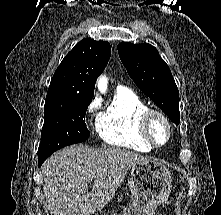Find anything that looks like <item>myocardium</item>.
<instances>
[{
  "label": "myocardium",
  "mask_w": 221,
  "mask_h": 215,
  "mask_svg": "<svg viewBox=\"0 0 221 215\" xmlns=\"http://www.w3.org/2000/svg\"><path fill=\"white\" fill-rule=\"evenodd\" d=\"M154 118L160 119L166 126L167 137L163 143H158L151 133V122ZM139 127L142 136L154 148H161L166 146L172 137V124L169 118L165 115V113L155 108H146L142 112L139 119Z\"/></svg>",
  "instance_id": "obj_1"
}]
</instances>
